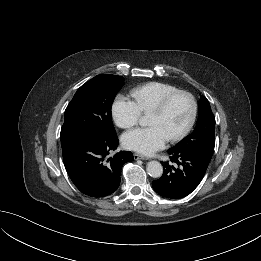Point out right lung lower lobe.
Instances as JSON below:
<instances>
[{
  "label": "right lung lower lobe",
  "instance_id": "1",
  "mask_svg": "<svg viewBox=\"0 0 261 261\" xmlns=\"http://www.w3.org/2000/svg\"><path fill=\"white\" fill-rule=\"evenodd\" d=\"M117 146V135H113L82 138L62 147L66 171L83 194L104 197L118 189L122 167L134 157L130 151H120L110 157L109 153Z\"/></svg>",
  "mask_w": 261,
  "mask_h": 261
}]
</instances>
